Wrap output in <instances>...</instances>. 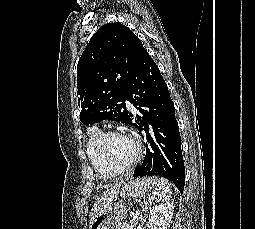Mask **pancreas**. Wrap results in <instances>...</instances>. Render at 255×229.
Returning <instances> with one entry per match:
<instances>
[{
  "label": "pancreas",
  "mask_w": 255,
  "mask_h": 229,
  "mask_svg": "<svg viewBox=\"0 0 255 229\" xmlns=\"http://www.w3.org/2000/svg\"><path fill=\"white\" fill-rule=\"evenodd\" d=\"M138 224V220H134L129 223H123V224H118L116 229H136V225Z\"/></svg>",
  "instance_id": "1"
}]
</instances>
